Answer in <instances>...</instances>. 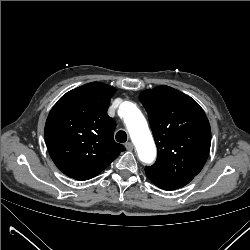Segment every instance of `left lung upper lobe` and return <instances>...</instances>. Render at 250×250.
Returning a JSON list of instances; mask_svg holds the SVG:
<instances>
[{
	"label": "left lung upper lobe",
	"mask_w": 250,
	"mask_h": 250,
	"mask_svg": "<svg viewBox=\"0 0 250 250\" xmlns=\"http://www.w3.org/2000/svg\"><path fill=\"white\" fill-rule=\"evenodd\" d=\"M154 139L157 160L146 171L161 176H193L203 168L210 151L211 129L199 104L169 86L140 93Z\"/></svg>",
	"instance_id": "left-lung-upper-lobe-1"
}]
</instances>
